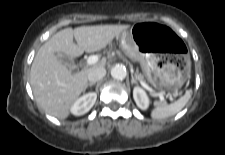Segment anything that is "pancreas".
Returning <instances> with one entry per match:
<instances>
[{"instance_id": "obj_1", "label": "pancreas", "mask_w": 225, "mask_h": 155, "mask_svg": "<svg viewBox=\"0 0 225 155\" xmlns=\"http://www.w3.org/2000/svg\"><path fill=\"white\" fill-rule=\"evenodd\" d=\"M135 76H136L137 79H143L144 78V76L141 73H139L138 71L135 72Z\"/></svg>"}]
</instances>
